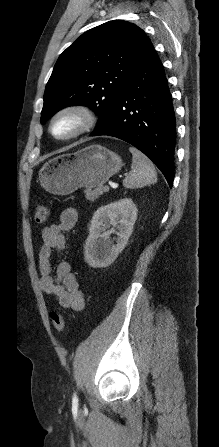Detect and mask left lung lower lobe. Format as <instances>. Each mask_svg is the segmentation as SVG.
<instances>
[{
  "instance_id": "left-lung-lower-lobe-1",
  "label": "left lung lower lobe",
  "mask_w": 219,
  "mask_h": 447,
  "mask_svg": "<svg viewBox=\"0 0 219 447\" xmlns=\"http://www.w3.org/2000/svg\"><path fill=\"white\" fill-rule=\"evenodd\" d=\"M98 135L117 137L138 148L172 187L175 114L163 65L151 42L107 117L91 136Z\"/></svg>"
}]
</instances>
